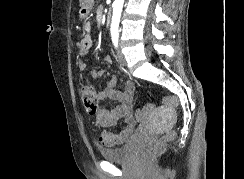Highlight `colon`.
<instances>
[{
  "instance_id": "obj_1",
  "label": "colon",
  "mask_w": 244,
  "mask_h": 179,
  "mask_svg": "<svg viewBox=\"0 0 244 179\" xmlns=\"http://www.w3.org/2000/svg\"><path fill=\"white\" fill-rule=\"evenodd\" d=\"M80 96L87 113L89 115L95 114L98 107L93 86H83L80 89ZM164 102L169 107H176L178 100L176 96H165ZM155 108V104H146L145 107H137L135 115L139 118H136V123H147V119H150V112H153ZM171 138H175V133H166V137H160V142H155V147H150L149 150H145L144 158H153V155H157L158 152H163V147H166V142H170Z\"/></svg>"
}]
</instances>
